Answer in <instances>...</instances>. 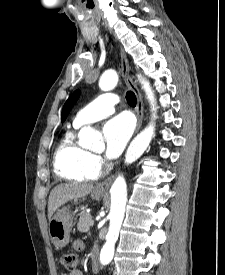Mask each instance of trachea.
<instances>
[{
    "label": "trachea",
    "instance_id": "obj_1",
    "mask_svg": "<svg viewBox=\"0 0 225 275\" xmlns=\"http://www.w3.org/2000/svg\"><path fill=\"white\" fill-rule=\"evenodd\" d=\"M126 100L130 106H133V107L136 106L137 99L135 94L132 91H128L126 93Z\"/></svg>",
    "mask_w": 225,
    "mask_h": 275
}]
</instances>
